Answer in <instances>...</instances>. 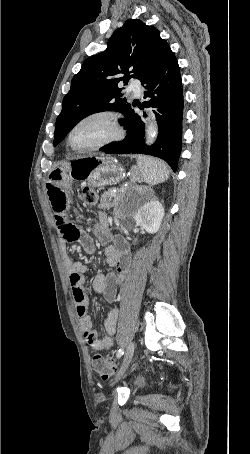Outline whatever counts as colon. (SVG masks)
<instances>
[{
	"instance_id": "obj_1",
	"label": "colon",
	"mask_w": 250,
	"mask_h": 454,
	"mask_svg": "<svg viewBox=\"0 0 250 454\" xmlns=\"http://www.w3.org/2000/svg\"><path fill=\"white\" fill-rule=\"evenodd\" d=\"M85 204L93 205L97 201V192L93 188H85L82 192ZM92 366L97 375L103 379H108L116 370V365L108 358L96 354L92 358Z\"/></svg>"
}]
</instances>
